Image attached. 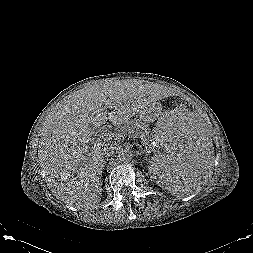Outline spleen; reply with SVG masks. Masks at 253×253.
I'll list each match as a JSON object with an SVG mask.
<instances>
[{
  "mask_svg": "<svg viewBox=\"0 0 253 253\" xmlns=\"http://www.w3.org/2000/svg\"><path fill=\"white\" fill-rule=\"evenodd\" d=\"M150 171L162 186L184 198L209 180L211 141L200 108L181 101L158 116L151 128Z\"/></svg>",
  "mask_w": 253,
  "mask_h": 253,
  "instance_id": "obj_1",
  "label": "spleen"
}]
</instances>
